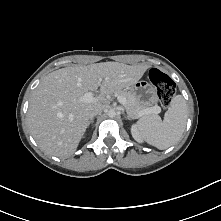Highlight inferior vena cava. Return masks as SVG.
Returning <instances> with one entry per match:
<instances>
[{"label": "inferior vena cava", "instance_id": "602c4592", "mask_svg": "<svg viewBox=\"0 0 221 221\" xmlns=\"http://www.w3.org/2000/svg\"><path fill=\"white\" fill-rule=\"evenodd\" d=\"M102 111H103L102 107L95 108L90 112L89 117L93 118L94 116L101 114Z\"/></svg>", "mask_w": 221, "mask_h": 221}]
</instances>
